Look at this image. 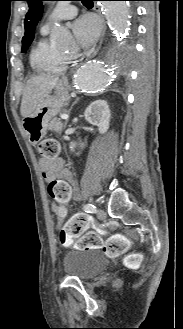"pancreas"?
<instances>
[{
	"label": "pancreas",
	"mask_w": 183,
	"mask_h": 329,
	"mask_svg": "<svg viewBox=\"0 0 183 329\" xmlns=\"http://www.w3.org/2000/svg\"><path fill=\"white\" fill-rule=\"evenodd\" d=\"M48 129L51 131H55L58 134H61L63 129V123L59 118H54L50 121Z\"/></svg>",
	"instance_id": "cf45deb5"
}]
</instances>
